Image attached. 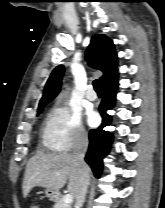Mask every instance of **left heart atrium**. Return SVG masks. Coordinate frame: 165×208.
I'll list each match as a JSON object with an SVG mask.
<instances>
[{
  "instance_id": "left-heart-atrium-1",
  "label": "left heart atrium",
  "mask_w": 165,
  "mask_h": 208,
  "mask_svg": "<svg viewBox=\"0 0 165 208\" xmlns=\"http://www.w3.org/2000/svg\"><path fill=\"white\" fill-rule=\"evenodd\" d=\"M88 124L94 126L98 121V116L94 112H89L87 115Z\"/></svg>"
}]
</instances>
